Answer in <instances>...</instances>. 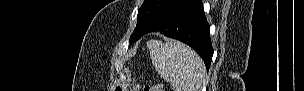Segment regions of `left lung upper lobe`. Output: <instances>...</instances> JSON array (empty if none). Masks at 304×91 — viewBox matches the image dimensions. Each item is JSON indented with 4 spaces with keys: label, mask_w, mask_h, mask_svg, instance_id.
<instances>
[{
    "label": "left lung upper lobe",
    "mask_w": 304,
    "mask_h": 91,
    "mask_svg": "<svg viewBox=\"0 0 304 91\" xmlns=\"http://www.w3.org/2000/svg\"><path fill=\"white\" fill-rule=\"evenodd\" d=\"M171 0H145L138 10L137 25L130 42L138 40L161 16Z\"/></svg>",
    "instance_id": "obj_1"
}]
</instances>
